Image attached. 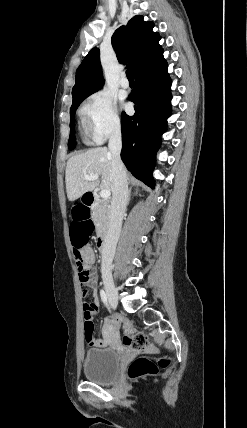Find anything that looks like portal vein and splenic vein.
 Wrapping results in <instances>:
<instances>
[{"mask_svg":"<svg viewBox=\"0 0 247 428\" xmlns=\"http://www.w3.org/2000/svg\"><path fill=\"white\" fill-rule=\"evenodd\" d=\"M98 175H85L84 176V179L85 180H89V181H91V180H98ZM110 191L109 190H101V192H100V196L102 197V198H108V197H110Z\"/></svg>","mask_w":247,"mask_h":428,"instance_id":"obj_1","label":"portal vein and splenic vein"}]
</instances>
